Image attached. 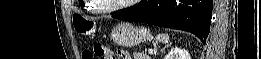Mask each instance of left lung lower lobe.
I'll use <instances>...</instances> for the list:
<instances>
[{
	"label": "left lung lower lobe",
	"instance_id": "obj_1",
	"mask_svg": "<svg viewBox=\"0 0 261 59\" xmlns=\"http://www.w3.org/2000/svg\"><path fill=\"white\" fill-rule=\"evenodd\" d=\"M212 8L213 0H142L134 8L112 13V16L188 31L205 44L210 31Z\"/></svg>",
	"mask_w": 261,
	"mask_h": 59
}]
</instances>
